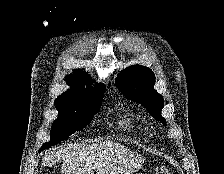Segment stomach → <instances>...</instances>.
I'll return each mask as SVG.
<instances>
[{
  "label": "stomach",
  "mask_w": 224,
  "mask_h": 174,
  "mask_svg": "<svg viewBox=\"0 0 224 174\" xmlns=\"http://www.w3.org/2000/svg\"><path fill=\"white\" fill-rule=\"evenodd\" d=\"M143 159L138 153H128L122 159L110 162L102 169H97L88 174H133L142 165Z\"/></svg>",
  "instance_id": "1"
}]
</instances>
